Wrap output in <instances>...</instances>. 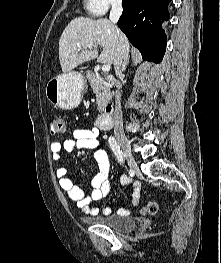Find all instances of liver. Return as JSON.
<instances>
[{
	"instance_id": "6515ba94",
	"label": "liver",
	"mask_w": 221,
	"mask_h": 263,
	"mask_svg": "<svg viewBox=\"0 0 221 263\" xmlns=\"http://www.w3.org/2000/svg\"><path fill=\"white\" fill-rule=\"evenodd\" d=\"M122 37V59L129 58L130 43L126 36L108 19L74 18L64 29L59 40V60L63 72L97 58L98 62L114 63L117 45ZM93 46L94 49H88ZM98 47L103 50L98 55Z\"/></svg>"
}]
</instances>
